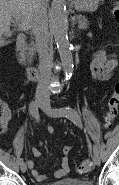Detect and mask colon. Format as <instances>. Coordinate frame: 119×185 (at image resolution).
Wrapping results in <instances>:
<instances>
[{"label":"colon","mask_w":119,"mask_h":185,"mask_svg":"<svg viewBox=\"0 0 119 185\" xmlns=\"http://www.w3.org/2000/svg\"><path fill=\"white\" fill-rule=\"evenodd\" d=\"M112 14L114 18L119 21V6L115 5L112 9ZM119 106V84L114 86L113 92L110 95L107 102V115H106V125L111 126L117 116ZM7 126V115L4 113L2 106L0 105V130L1 132H6ZM93 169L92 162L89 159H85L78 165V171L80 173H89Z\"/></svg>","instance_id":"obj_1"}]
</instances>
